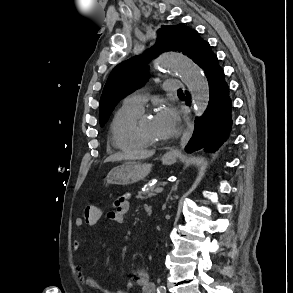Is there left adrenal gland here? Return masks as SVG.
Returning <instances> with one entry per match:
<instances>
[{"label":"left adrenal gland","mask_w":293,"mask_h":293,"mask_svg":"<svg viewBox=\"0 0 293 293\" xmlns=\"http://www.w3.org/2000/svg\"><path fill=\"white\" fill-rule=\"evenodd\" d=\"M178 183H179V181H177L176 183H175V185H174V187H173V191H176L177 190V186H178Z\"/></svg>","instance_id":"a2214340"}]
</instances>
